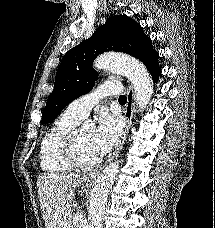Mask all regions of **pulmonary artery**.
I'll list each match as a JSON object with an SVG mask.
<instances>
[{
  "mask_svg": "<svg viewBox=\"0 0 215 228\" xmlns=\"http://www.w3.org/2000/svg\"><path fill=\"white\" fill-rule=\"evenodd\" d=\"M125 93H127V88H124V84H120V82L100 84V89L71 102L67 107V111L78 119L83 120L90 109L98 104L103 97L115 94L116 96H125Z\"/></svg>",
  "mask_w": 215,
  "mask_h": 228,
  "instance_id": "e3ab8cb5",
  "label": "pulmonary artery"
}]
</instances>
